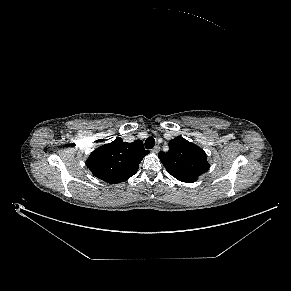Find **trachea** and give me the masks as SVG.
<instances>
[{"label": "trachea", "mask_w": 291, "mask_h": 291, "mask_svg": "<svg viewBox=\"0 0 291 291\" xmlns=\"http://www.w3.org/2000/svg\"><path fill=\"white\" fill-rule=\"evenodd\" d=\"M155 145V139L152 137H149L145 141V148L146 149H152Z\"/></svg>", "instance_id": "1"}]
</instances>
